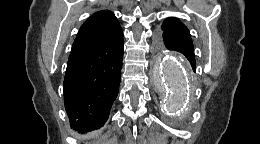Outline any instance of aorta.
<instances>
[{
  "instance_id": "aorta-1",
  "label": "aorta",
  "mask_w": 260,
  "mask_h": 144,
  "mask_svg": "<svg viewBox=\"0 0 260 144\" xmlns=\"http://www.w3.org/2000/svg\"><path fill=\"white\" fill-rule=\"evenodd\" d=\"M187 72L186 61L176 54H165L155 62V83L166 92L165 106L169 112L186 106L190 94Z\"/></svg>"
}]
</instances>
